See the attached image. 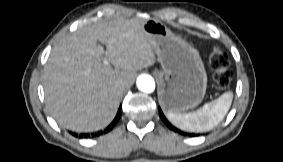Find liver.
<instances>
[{
    "mask_svg": "<svg viewBox=\"0 0 283 162\" xmlns=\"http://www.w3.org/2000/svg\"><path fill=\"white\" fill-rule=\"evenodd\" d=\"M142 20L118 18L88 26L54 45L42 79L46 108L61 127L92 132L111 123L136 72L155 63ZM97 41L106 46L105 58L114 68L102 63Z\"/></svg>",
    "mask_w": 283,
    "mask_h": 162,
    "instance_id": "obj_1",
    "label": "liver"
}]
</instances>
